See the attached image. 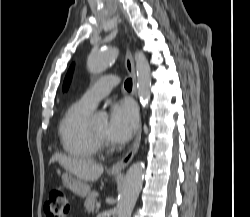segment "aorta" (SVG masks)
<instances>
[{
    "instance_id": "obj_1",
    "label": "aorta",
    "mask_w": 250,
    "mask_h": 217,
    "mask_svg": "<svg viewBox=\"0 0 250 217\" xmlns=\"http://www.w3.org/2000/svg\"><path fill=\"white\" fill-rule=\"evenodd\" d=\"M118 50L107 48L92 52L87 60V68L91 73L104 71L116 58ZM137 91L142 105L148 106L151 97V69L142 52L135 53ZM144 165L142 162L134 163L126 173L120 198L116 206L117 217H131L132 210L137 201L143 184Z\"/></svg>"
}]
</instances>
